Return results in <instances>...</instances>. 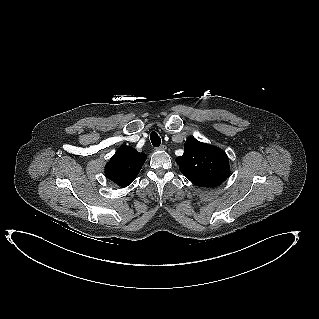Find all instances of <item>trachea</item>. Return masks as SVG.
Returning <instances> with one entry per match:
<instances>
[{
    "instance_id": "3493384b",
    "label": "trachea",
    "mask_w": 319,
    "mask_h": 319,
    "mask_svg": "<svg viewBox=\"0 0 319 319\" xmlns=\"http://www.w3.org/2000/svg\"><path fill=\"white\" fill-rule=\"evenodd\" d=\"M150 139H151L152 145L154 147H159L160 146L161 139H160L159 135L156 132H152L151 133Z\"/></svg>"
}]
</instances>
